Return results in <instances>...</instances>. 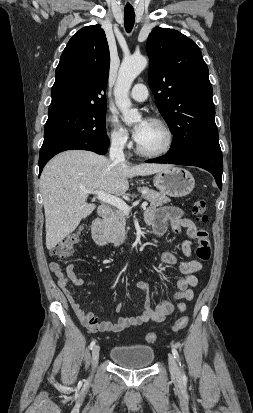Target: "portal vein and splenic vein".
<instances>
[{"label":"portal vein and splenic vein","instance_id":"obj_1","mask_svg":"<svg viewBox=\"0 0 253 413\" xmlns=\"http://www.w3.org/2000/svg\"><path fill=\"white\" fill-rule=\"evenodd\" d=\"M82 191L84 193H87V194H95L96 197L99 200H101L103 202H106L110 205L115 206L116 208L122 210L125 214H129V212H130V207L122 199H120L116 196L107 194L106 192H104L102 190H99V191L98 190H88V189L82 188ZM147 205H148L147 202H143L141 204V207L146 208Z\"/></svg>","mask_w":253,"mask_h":413}]
</instances>
